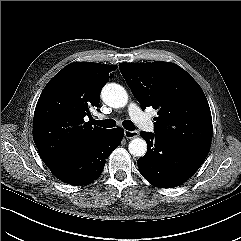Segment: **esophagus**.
Wrapping results in <instances>:
<instances>
[{
  "label": "esophagus",
  "instance_id": "34e87169",
  "mask_svg": "<svg viewBox=\"0 0 241 241\" xmlns=\"http://www.w3.org/2000/svg\"><path fill=\"white\" fill-rule=\"evenodd\" d=\"M124 136L128 139H132L138 136V132L137 131H129V130H125L124 131Z\"/></svg>",
  "mask_w": 241,
  "mask_h": 241
}]
</instances>
